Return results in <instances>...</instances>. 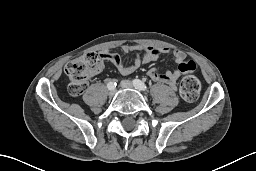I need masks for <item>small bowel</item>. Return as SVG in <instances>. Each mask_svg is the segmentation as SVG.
Listing matches in <instances>:
<instances>
[{"instance_id":"obj_1","label":"small bowel","mask_w":256,"mask_h":171,"mask_svg":"<svg viewBox=\"0 0 256 171\" xmlns=\"http://www.w3.org/2000/svg\"><path fill=\"white\" fill-rule=\"evenodd\" d=\"M122 50L125 53H142L143 56H137L131 64H124L122 59L116 55L111 54L107 50L100 52V57L103 62H110L116 66V68L122 74H130L139 69L141 66L156 61L161 55H171L173 61L178 64V69L174 71H159L157 69H150L147 75L156 82L168 85L171 89H177V81L184 74L181 70V65L184 64L185 54L179 50H171L167 47L140 45V44H125L122 46ZM99 70V69H98Z\"/></svg>"}]
</instances>
